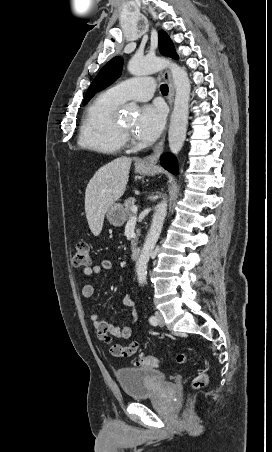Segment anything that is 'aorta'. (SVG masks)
Here are the masks:
<instances>
[{
  "label": "aorta",
  "instance_id": "1",
  "mask_svg": "<svg viewBox=\"0 0 272 452\" xmlns=\"http://www.w3.org/2000/svg\"><path fill=\"white\" fill-rule=\"evenodd\" d=\"M166 67L171 70L175 86L174 108L170 120L168 141L171 152L178 154L183 147L188 125L191 85L187 72L176 63L160 57H132L127 66L128 71L134 76L155 73ZM166 215L167 200L163 198L155 208L151 227L136 263L137 279L140 285L146 283L148 262L161 234Z\"/></svg>",
  "mask_w": 272,
  "mask_h": 452
}]
</instances>
